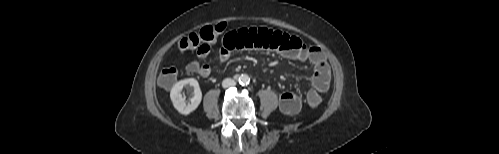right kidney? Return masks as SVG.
<instances>
[{
  "label": "right kidney",
  "instance_id": "right-kidney-1",
  "mask_svg": "<svg viewBox=\"0 0 499 154\" xmlns=\"http://www.w3.org/2000/svg\"><path fill=\"white\" fill-rule=\"evenodd\" d=\"M189 85L193 88V96L187 103L185 97L182 96L181 91L184 86ZM170 98L173 103L174 108L183 115H188L197 109L201 100L202 92L199 87V83L194 78H187L177 82L171 89Z\"/></svg>",
  "mask_w": 499,
  "mask_h": 154
}]
</instances>
